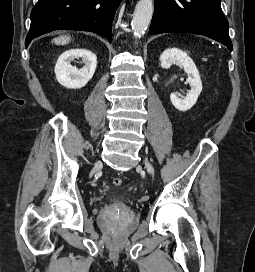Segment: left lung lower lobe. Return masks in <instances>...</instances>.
Returning a JSON list of instances; mask_svg holds the SVG:
<instances>
[{
    "label": "left lung lower lobe",
    "mask_w": 255,
    "mask_h": 272,
    "mask_svg": "<svg viewBox=\"0 0 255 272\" xmlns=\"http://www.w3.org/2000/svg\"><path fill=\"white\" fill-rule=\"evenodd\" d=\"M149 33H193L214 39L232 51L229 24L220 0H154Z\"/></svg>",
    "instance_id": "left-lung-lower-lobe-1"
}]
</instances>
